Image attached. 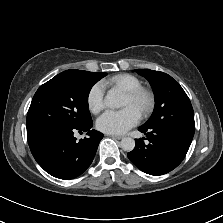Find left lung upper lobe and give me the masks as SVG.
Here are the masks:
<instances>
[{
    "mask_svg": "<svg viewBox=\"0 0 223 223\" xmlns=\"http://www.w3.org/2000/svg\"><path fill=\"white\" fill-rule=\"evenodd\" d=\"M151 84L155 95V108L149 120L142 127H174L195 131L194 112L191 102L170 75L150 69H136Z\"/></svg>",
    "mask_w": 223,
    "mask_h": 223,
    "instance_id": "obj_1",
    "label": "left lung upper lobe"
}]
</instances>
